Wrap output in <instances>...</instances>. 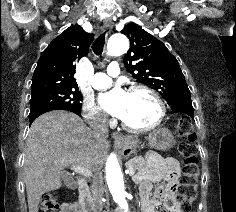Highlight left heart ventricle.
I'll return each instance as SVG.
<instances>
[{
    "mask_svg": "<svg viewBox=\"0 0 236 212\" xmlns=\"http://www.w3.org/2000/svg\"><path fill=\"white\" fill-rule=\"evenodd\" d=\"M158 116L155 100L145 92L128 93L125 115L121 118L132 127H146Z\"/></svg>",
    "mask_w": 236,
    "mask_h": 212,
    "instance_id": "b2bd125f",
    "label": "left heart ventricle"
}]
</instances>
